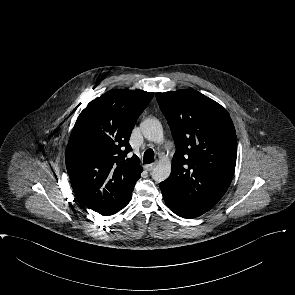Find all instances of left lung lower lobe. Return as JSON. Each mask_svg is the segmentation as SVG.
Masks as SVG:
<instances>
[{
    "label": "left lung lower lobe",
    "instance_id": "left-lung-lower-lobe-1",
    "mask_svg": "<svg viewBox=\"0 0 295 295\" xmlns=\"http://www.w3.org/2000/svg\"><path fill=\"white\" fill-rule=\"evenodd\" d=\"M164 200L167 206L178 216L183 218H194L196 215L189 212L182 204H180L177 196L171 192L165 185L160 183Z\"/></svg>",
    "mask_w": 295,
    "mask_h": 295
}]
</instances>
